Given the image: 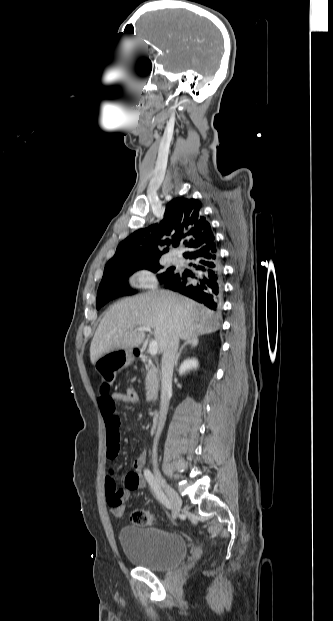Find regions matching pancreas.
Listing matches in <instances>:
<instances>
[{
    "instance_id": "pancreas-1",
    "label": "pancreas",
    "mask_w": 333,
    "mask_h": 621,
    "mask_svg": "<svg viewBox=\"0 0 333 621\" xmlns=\"http://www.w3.org/2000/svg\"><path fill=\"white\" fill-rule=\"evenodd\" d=\"M147 376L145 379V388H146V400L152 401L157 398V391L159 385V374L155 366L148 361L146 366Z\"/></svg>"
}]
</instances>
